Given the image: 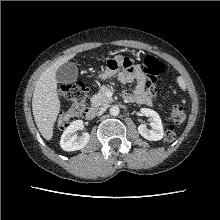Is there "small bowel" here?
<instances>
[{
	"instance_id": "1",
	"label": "small bowel",
	"mask_w": 220,
	"mask_h": 220,
	"mask_svg": "<svg viewBox=\"0 0 220 220\" xmlns=\"http://www.w3.org/2000/svg\"><path fill=\"white\" fill-rule=\"evenodd\" d=\"M109 76V71H105L102 74L103 78ZM118 80L123 84L132 83L136 81L135 90L133 93H124L123 98L128 102H136L144 105L152 104V95L155 92V89L148 85L144 73L134 66H129L123 71H120L117 75Z\"/></svg>"
}]
</instances>
